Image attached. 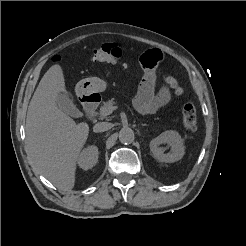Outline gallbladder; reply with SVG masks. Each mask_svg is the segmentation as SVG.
I'll use <instances>...</instances> for the list:
<instances>
[{"instance_id":"obj_1","label":"gallbladder","mask_w":246,"mask_h":246,"mask_svg":"<svg viewBox=\"0 0 246 246\" xmlns=\"http://www.w3.org/2000/svg\"><path fill=\"white\" fill-rule=\"evenodd\" d=\"M56 104L60 110L72 117L81 116V112L74 104L67 92H60L56 99Z\"/></svg>"}]
</instances>
